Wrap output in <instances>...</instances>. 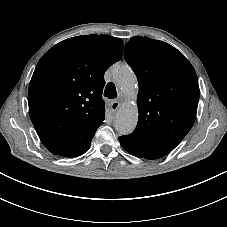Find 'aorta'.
<instances>
[{
  "label": "aorta",
  "instance_id": "762f6f07",
  "mask_svg": "<svg viewBox=\"0 0 227 227\" xmlns=\"http://www.w3.org/2000/svg\"><path fill=\"white\" fill-rule=\"evenodd\" d=\"M112 76L124 94L131 96L133 99L136 98L137 78L128 64H114L112 67ZM137 122V105L125 103L115 116L114 127L120 135H128L134 131Z\"/></svg>",
  "mask_w": 227,
  "mask_h": 227
}]
</instances>
